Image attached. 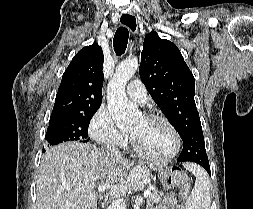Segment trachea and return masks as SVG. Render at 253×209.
Returning a JSON list of instances; mask_svg holds the SVG:
<instances>
[{
	"label": "trachea",
	"mask_w": 253,
	"mask_h": 209,
	"mask_svg": "<svg viewBox=\"0 0 253 209\" xmlns=\"http://www.w3.org/2000/svg\"><path fill=\"white\" fill-rule=\"evenodd\" d=\"M129 38L128 29L125 27H119L113 38V47L117 55H122L126 48Z\"/></svg>",
	"instance_id": "3493384b"
}]
</instances>
